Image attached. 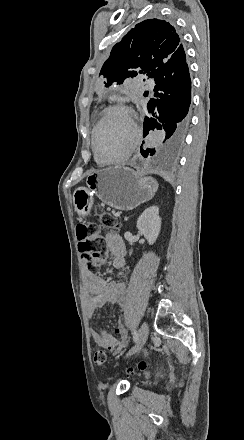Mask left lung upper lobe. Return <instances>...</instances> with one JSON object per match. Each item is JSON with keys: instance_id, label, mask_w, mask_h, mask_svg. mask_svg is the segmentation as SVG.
Returning <instances> with one entry per match:
<instances>
[{"instance_id": "obj_1", "label": "left lung upper lobe", "mask_w": 244, "mask_h": 440, "mask_svg": "<svg viewBox=\"0 0 244 440\" xmlns=\"http://www.w3.org/2000/svg\"><path fill=\"white\" fill-rule=\"evenodd\" d=\"M185 58V51L175 28L165 20L148 19L135 25L117 43L100 74L107 78L106 87L122 84L128 77L144 74L154 78L163 66Z\"/></svg>"}]
</instances>
